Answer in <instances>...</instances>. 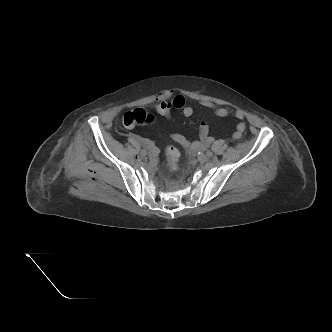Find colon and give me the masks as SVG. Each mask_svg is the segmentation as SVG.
Here are the masks:
<instances>
[{
  "label": "colon",
  "mask_w": 332,
  "mask_h": 332,
  "mask_svg": "<svg viewBox=\"0 0 332 332\" xmlns=\"http://www.w3.org/2000/svg\"><path fill=\"white\" fill-rule=\"evenodd\" d=\"M170 114L167 115V117H169ZM151 120L152 116L149 115L145 110L139 108L127 112L123 117V124L124 126L131 128L136 125L147 123ZM166 157H167V162H166L167 167L171 170H175L177 168V163L179 159V151L177 150V148L173 146H168L166 148Z\"/></svg>",
  "instance_id": "obj_1"
}]
</instances>
